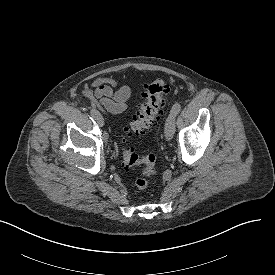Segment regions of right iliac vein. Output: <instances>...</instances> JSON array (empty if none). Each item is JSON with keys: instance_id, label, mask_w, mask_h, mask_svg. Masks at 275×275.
I'll return each instance as SVG.
<instances>
[{"instance_id": "obj_1", "label": "right iliac vein", "mask_w": 275, "mask_h": 275, "mask_svg": "<svg viewBox=\"0 0 275 275\" xmlns=\"http://www.w3.org/2000/svg\"><path fill=\"white\" fill-rule=\"evenodd\" d=\"M95 120L99 126L104 125V119L100 113L97 114V116L95 117Z\"/></svg>"}]
</instances>
